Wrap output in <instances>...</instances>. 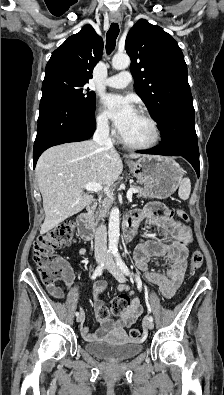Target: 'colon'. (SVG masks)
Wrapping results in <instances>:
<instances>
[{
	"instance_id": "colon-1",
	"label": "colon",
	"mask_w": 224,
	"mask_h": 395,
	"mask_svg": "<svg viewBox=\"0 0 224 395\" xmlns=\"http://www.w3.org/2000/svg\"><path fill=\"white\" fill-rule=\"evenodd\" d=\"M182 221H188V214L184 210L177 211ZM73 223H64L45 232L37 238L34 245L33 260L38 268L42 281L46 284H55L65 280L69 276V268L61 260L55 251L57 248L70 244L73 240ZM203 264V254L200 250H194L190 257V271L195 273ZM130 303L126 295H120L112 300L110 305H101L99 315L102 319H109L110 315H119L125 311ZM130 338L139 341L145 338V331L133 328Z\"/></svg>"
}]
</instances>
